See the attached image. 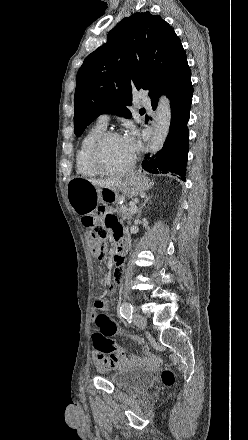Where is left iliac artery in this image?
Wrapping results in <instances>:
<instances>
[{
	"instance_id": "1",
	"label": "left iliac artery",
	"mask_w": 248,
	"mask_h": 440,
	"mask_svg": "<svg viewBox=\"0 0 248 440\" xmlns=\"http://www.w3.org/2000/svg\"><path fill=\"white\" fill-rule=\"evenodd\" d=\"M132 313H133V306L128 302H124L120 307L121 316L127 320H131Z\"/></svg>"
}]
</instances>
